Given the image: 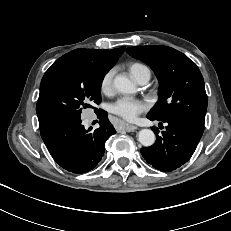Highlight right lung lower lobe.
<instances>
[{"mask_svg": "<svg viewBox=\"0 0 231 231\" xmlns=\"http://www.w3.org/2000/svg\"><path fill=\"white\" fill-rule=\"evenodd\" d=\"M100 127L92 131L81 119L51 123L40 129L41 137L53 159L65 170L85 173L93 169L105 151V142L116 131L103 110L96 112Z\"/></svg>", "mask_w": 231, "mask_h": 231, "instance_id": "1", "label": "right lung lower lobe"}]
</instances>
